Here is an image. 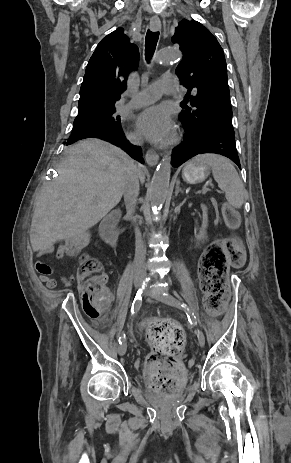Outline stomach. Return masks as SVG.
Segmentation results:
<instances>
[{
  "label": "stomach",
  "mask_w": 291,
  "mask_h": 463,
  "mask_svg": "<svg viewBox=\"0 0 291 463\" xmlns=\"http://www.w3.org/2000/svg\"><path fill=\"white\" fill-rule=\"evenodd\" d=\"M209 175V166L200 161L187 163L182 171L183 179L188 183L202 182Z\"/></svg>",
  "instance_id": "stomach-1"
}]
</instances>
